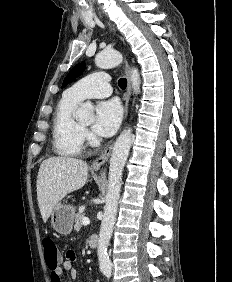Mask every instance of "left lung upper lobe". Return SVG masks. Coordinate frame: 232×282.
Returning <instances> with one entry per match:
<instances>
[{"instance_id":"obj_1","label":"left lung upper lobe","mask_w":232,"mask_h":282,"mask_svg":"<svg viewBox=\"0 0 232 282\" xmlns=\"http://www.w3.org/2000/svg\"><path fill=\"white\" fill-rule=\"evenodd\" d=\"M84 69H85L84 62H81L77 64L74 68H72V70L69 72V74L67 75V77L65 78L62 84V88L65 87L67 84H69L72 80L80 76L84 71Z\"/></svg>"}]
</instances>
